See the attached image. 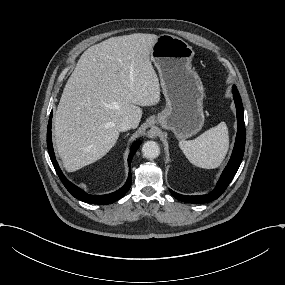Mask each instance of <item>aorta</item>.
<instances>
[{
  "mask_svg": "<svg viewBox=\"0 0 285 285\" xmlns=\"http://www.w3.org/2000/svg\"><path fill=\"white\" fill-rule=\"evenodd\" d=\"M142 154L147 159H155L160 154L159 145L155 141H147L142 146Z\"/></svg>",
  "mask_w": 285,
  "mask_h": 285,
  "instance_id": "1",
  "label": "aorta"
}]
</instances>
